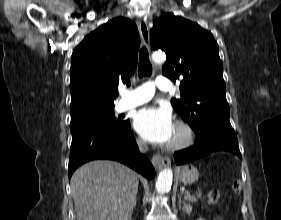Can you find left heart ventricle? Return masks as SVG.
I'll list each match as a JSON object with an SVG mask.
<instances>
[{"instance_id":"left-heart-ventricle-1","label":"left heart ventricle","mask_w":281,"mask_h":220,"mask_svg":"<svg viewBox=\"0 0 281 220\" xmlns=\"http://www.w3.org/2000/svg\"><path fill=\"white\" fill-rule=\"evenodd\" d=\"M182 138V133L181 131L175 126L174 127V130H173V133H172V136L168 142V144H173V143H176L178 141H180Z\"/></svg>"}]
</instances>
